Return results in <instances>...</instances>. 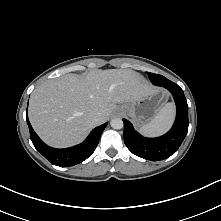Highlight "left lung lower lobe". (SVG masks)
Returning a JSON list of instances; mask_svg holds the SVG:
<instances>
[{
  "mask_svg": "<svg viewBox=\"0 0 221 221\" xmlns=\"http://www.w3.org/2000/svg\"><path fill=\"white\" fill-rule=\"evenodd\" d=\"M168 89L175 100L177 116L173 127L165 135L157 138H145L136 132L132 124L123 119L124 142L135 155L146 160H164L173 155L188 132V105L183 90L172 81L160 85Z\"/></svg>",
  "mask_w": 221,
  "mask_h": 221,
  "instance_id": "0a47b994",
  "label": "left lung lower lobe"
}]
</instances>
